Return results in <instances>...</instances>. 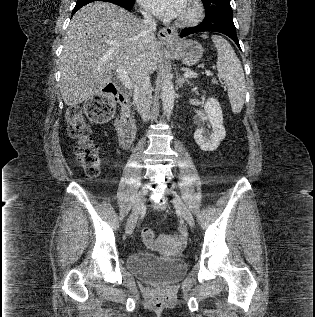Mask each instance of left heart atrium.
<instances>
[{
    "label": "left heart atrium",
    "mask_w": 315,
    "mask_h": 317,
    "mask_svg": "<svg viewBox=\"0 0 315 317\" xmlns=\"http://www.w3.org/2000/svg\"><path fill=\"white\" fill-rule=\"evenodd\" d=\"M142 6L154 15L172 19L179 16L186 0H139Z\"/></svg>",
    "instance_id": "39dd6f15"
}]
</instances>
